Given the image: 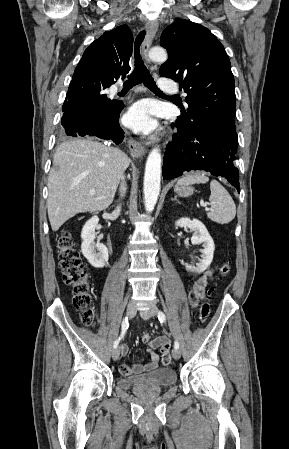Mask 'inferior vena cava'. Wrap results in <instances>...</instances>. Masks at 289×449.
Here are the masks:
<instances>
[{
  "label": "inferior vena cava",
  "instance_id": "602c4592",
  "mask_svg": "<svg viewBox=\"0 0 289 449\" xmlns=\"http://www.w3.org/2000/svg\"><path fill=\"white\" fill-rule=\"evenodd\" d=\"M119 191H120V195H121V196H124V195H125V192H126V183H125V177H124V176H122V178H121V185H120ZM117 210H120V206L117 207Z\"/></svg>",
  "mask_w": 289,
  "mask_h": 449
}]
</instances>
